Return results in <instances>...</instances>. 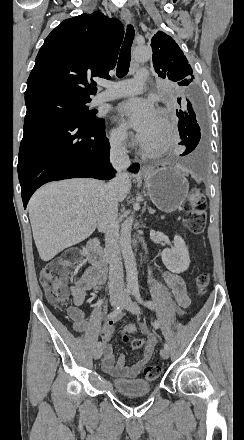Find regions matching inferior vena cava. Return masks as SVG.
Here are the masks:
<instances>
[{
  "instance_id": "obj_1",
  "label": "inferior vena cava",
  "mask_w": 244,
  "mask_h": 440,
  "mask_svg": "<svg viewBox=\"0 0 244 440\" xmlns=\"http://www.w3.org/2000/svg\"><path fill=\"white\" fill-rule=\"evenodd\" d=\"M110 162L118 172L126 170L130 166L127 150L122 144V140H117L112 144L110 152ZM128 178L127 174H122L108 182L104 188L99 216L97 220L98 230L105 234L106 250L109 258V292L112 296L125 294L122 260L119 248V224L118 218V198L117 190L121 180Z\"/></svg>"
}]
</instances>
